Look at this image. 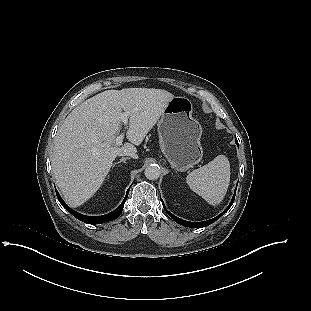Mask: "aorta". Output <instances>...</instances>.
<instances>
[{"mask_svg":"<svg viewBox=\"0 0 311 311\" xmlns=\"http://www.w3.org/2000/svg\"><path fill=\"white\" fill-rule=\"evenodd\" d=\"M145 177L149 180H156L160 177L161 175V170L158 165H149L145 168L144 171Z\"/></svg>","mask_w":311,"mask_h":311,"instance_id":"1","label":"aorta"}]
</instances>
